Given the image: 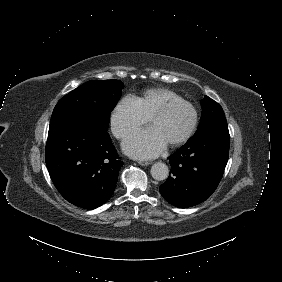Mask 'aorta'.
Listing matches in <instances>:
<instances>
[{
  "mask_svg": "<svg viewBox=\"0 0 282 282\" xmlns=\"http://www.w3.org/2000/svg\"><path fill=\"white\" fill-rule=\"evenodd\" d=\"M151 175L157 181L165 180L169 175L168 166L162 162H157L151 167Z\"/></svg>",
  "mask_w": 282,
  "mask_h": 282,
  "instance_id": "obj_1",
  "label": "aorta"
}]
</instances>
